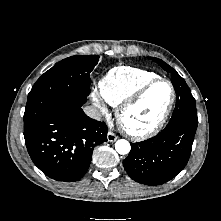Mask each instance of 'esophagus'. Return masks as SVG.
<instances>
[{"instance_id": "1", "label": "esophagus", "mask_w": 221, "mask_h": 221, "mask_svg": "<svg viewBox=\"0 0 221 221\" xmlns=\"http://www.w3.org/2000/svg\"><path fill=\"white\" fill-rule=\"evenodd\" d=\"M117 135L115 134V133H113V132H111V131H109L108 133H107V140L109 141V142H114V141H116L117 140Z\"/></svg>"}]
</instances>
